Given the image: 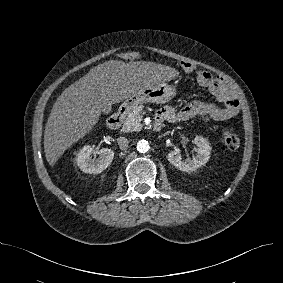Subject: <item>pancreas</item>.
<instances>
[{
    "label": "pancreas",
    "mask_w": 283,
    "mask_h": 283,
    "mask_svg": "<svg viewBox=\"0 0 283 283\" xmlns=\"http://www.w3.org/2000/svg\"><path fill=\"white\" fill-rule=\"evenodd\" d=\"M143 105H138L129 113L128 117L126 118L123 126V132H136L140 131L142 128L141 121H142V111Z\"/></svg>",
    "instance_id": "pancreas-1"
}]
</instances>
